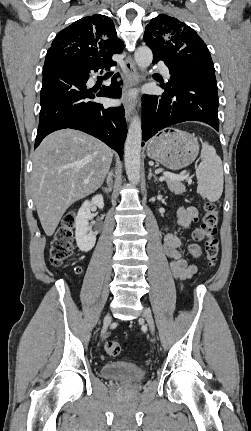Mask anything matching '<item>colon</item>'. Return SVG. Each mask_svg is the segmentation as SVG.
I'll use <instances>...</instances> for the list:
<instances>
[{
  "label": "colon",
  "instance_id": "obj_1",
  "mask_svg": "<svg viewBox=\"0 0 251 431\" xmlns=\"http://www.w3.org/2000/svg\"><path fill=\"white\" fill-rule=\"evenodd\" d=\"M201 230L206 236L205 254L209 266H214L219 257V241L216 238L219 213L212 202L204 203ZM75 213L68 212L64 215L50 245V263L57 267L65 263L73 253ZM108 355L116 356L121 348L118 342L108 340L104 345Z\"/></svg>",
  "mask_w": 251,
  "mask_h": 431
}]
</instances>
